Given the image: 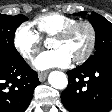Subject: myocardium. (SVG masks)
I'll list each match as a JSON object with an SVG mask.
<instances>
[{
  "instance_id": "1",
  "label": "myocardium",
  "mask_w": 112,
  "mask_h": 112,
  "mask_svg": "<svg viewBox=\"0 0 112 112\" xmlns=\"http://www.w3.org/2000/svg\"><path fill=\"white\" fill-rule=\"evenodd\" d=\"M80 26H84L88 29L89 43L84 53L73 59V62L78 64L85 62L91 56V54L95 49L96 41H97V32L94 25L87 20L76 21L66 26L65 28H63L53 36V38L56 39H61V40L66 39L75 29H77Z\"/></svg>"
}]
</instances>
